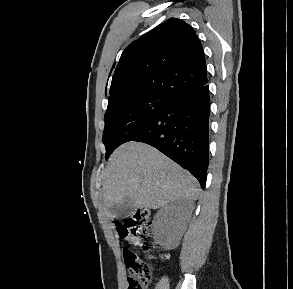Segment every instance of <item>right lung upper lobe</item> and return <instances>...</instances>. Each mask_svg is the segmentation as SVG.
<instances>
[{
  "mask_svg": "<svg viewBox=\"0 0 293 289\" xmlns=\"http://www.w3.org/2000/svg\"><path fill=\"white\" fill-rule=\"evenodd\" d=\"M207 82L204 51L194 29L171 18L123 51L112 78L108 106L145 94H159L172 101Z\"/></svg>",
  "mask_w": 293,
  "mask_h": 289,
  "instance_id": "1",
  "label": "right lung upper lobe"
}]
</instances>
